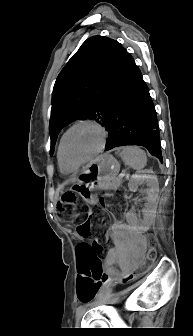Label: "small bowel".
Instances as JSON below:
<instances>
[{
    "label": "small bowel",
    "instance_id": "small-bowel-1",
    "mask_svg": "<svg viewBox=\"0 0 193 336\" xmlns=\"http://www.w3.org/2000/svg\"><path fill=\"white\" fill-rule=\"evenodd\" d=\"M113 246L107 251L104 259V268L109 275L111 281L117 280L119 273L115 268L118 264L123 272H131L137 269L143 259L145 249V239L142 235L135 232L129 225L124 222L117 221L113 224L111 233ZM79 273V290L84 288L90 293L96 284L89 279V273Z\"/></svg>",
    "mask_w": 193,
    "mask_h": 336
}]
</instances>
